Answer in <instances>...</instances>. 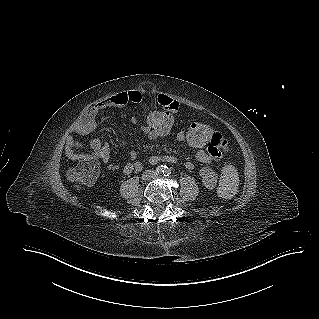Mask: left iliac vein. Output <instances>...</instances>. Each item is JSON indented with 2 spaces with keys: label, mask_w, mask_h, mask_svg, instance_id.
I'll return each mask as SVG.
<instances>
[{
  "label": "left iliac vein",
  "mask_w": 319,
  "mask_h": 319,
  "mask_svg": "<svg viewBox=\"0 0 319 319\" xmlns=\"http://www.w3.org/2000/svg\"><path fill=\"white\" fill-rule=\"evenodd\" d=\"M152 177H157V173L156 172H152Z\"/></svg>",
  "instance_id": "4c4485c4"
}]
</instances>
